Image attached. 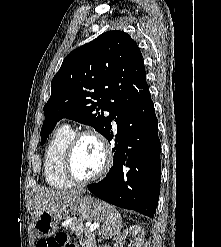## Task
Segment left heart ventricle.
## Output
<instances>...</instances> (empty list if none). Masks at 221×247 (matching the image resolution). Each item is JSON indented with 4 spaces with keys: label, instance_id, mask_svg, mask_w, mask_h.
<instances>
[{
    "label": "left heart ventricle",
    "instance_id": "1",
    "mask_svg": "<svg viewBox=\"0 0 221 247\" xmlns=\"http://www.w3.org/2000/svg\"><path fill=\"white\" fill-rule=\"evenodd\" d=\"M104 156L99 143L91 138H82L73 157V170L77 177L88 178L94 176L102 168Z\"/></svg>",
    "mask_w": 221,
    "mask_h": 247
}]
</instances>
